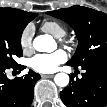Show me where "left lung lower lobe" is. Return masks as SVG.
I'll return each mask as SVG.
<instances>
[{
	"instance_id": "0a47b994",
	"label": "left lung lower lobe",
	"mask_w": 107,
	"mask_h": 107,
	"mask_svg": "<svg viewBox=\"0 0 107 107\" xmlns=\"http://www.w3.org/2000/svg\"><path fill=\"white\" fill-rule=\"evenodd\" d=\"M74 67V66H72ZM82 78L60 92L67 107H106L107 106V60H97L81 66ZM77 69V67H75Z\"/></svg>"
}]
</instances>
